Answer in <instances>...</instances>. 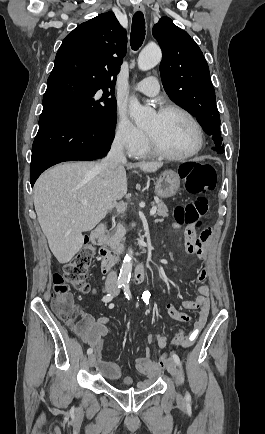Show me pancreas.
I'll list each match as a JSON object with an SVG mask.
<instances>
[{
	"label": "pancreas",
	"instance_id": "1",
	"mask_svg": "<svg viewBox=\"0 0 265 434\" xmlns=\"http://www.w3.org/2000/svg\"><path fill=\"white\" fill-rule=\"evenodd\" d=\"M167 212V206H165L162 200H159V204H157L158 216H167ZM125 234V228H123V226H117V228H114V232L111 234V236H105L104 244L107 246L108 250H112V252H120V248H122L120 242L125 240Z\"/></svg>",
	"mask_w": 265,
	"mask_h": 434
}]
</instances>
